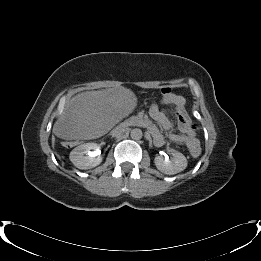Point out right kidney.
Instances as JSON below:
<instances>
[{"mask_svg":"<svg viewBox=\"0 0 261 261\" xmlns=\"http://www.w3.org/2000/svg\"><path fill=\"white\" fill-rule=\"evenodd\" d=\"M100 154V146L97 143H84L71 151L69 159L77 168L86 170L101 163Z\"/></svg>","mask_w":261,"mask_h":261,"instance_id":"1","label":"right kidney"}]
</instances>
